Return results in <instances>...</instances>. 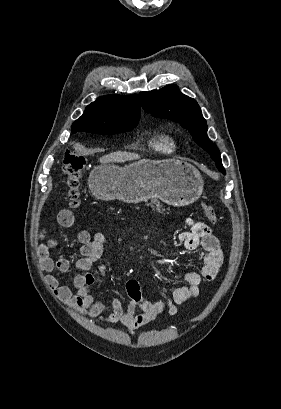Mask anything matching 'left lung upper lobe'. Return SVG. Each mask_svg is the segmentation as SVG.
Here are the masks:
<instances>
[{
    "mask_svg": "<svg viewBox=\"0 0 281 409\" xmlns=\"http://www.w3.org/2000/svg\"><path fill=\"white\" fill-rule=\"evenodd\" d=\"M142 107L154 117L167 118L189 130L194 141L206 150L216 162L219 171L225 174L219 150L207 136V123L197 102L182 94L175 85L160 90L139 93Z\"/></svg>",
    "mask_w": 281,
    "mask_h": 409,
    "instance_id": "obj_1",
    "label": "left lung upper lobe"
}]
</instances>
